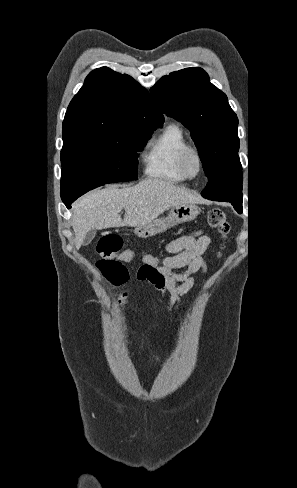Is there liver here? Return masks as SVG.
<instances>
[{
  "label": "liver",
  "mask_w": 297,
  "mask_h": 488,
  "mask_svg": "<svg viewBox=\"0 0 297 488\" xmlns=\"http://www.w3.org/2000/svg\"><path fill=\"white\" fill-rule=\"evenodd\" d=\"M200 200L196 195L160 179H145L133 187L108 186L91 191L74 204L72 227L79 249L90 229L140 226L164 211ZM125 210L124 219L120 216Z\"/></svg>",
  "instance_id": "6515ba94"
}]
</instances>
